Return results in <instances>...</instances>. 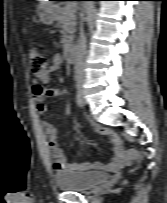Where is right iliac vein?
<instances>
[{
    "label": "right iliac vein",
    "mask_w": 167,
    "mask_h": 203,
    "mask_svg": "<svg viewBox=\"0 0 167 203\" xmlns=\"http://www.w3.org/2000/svg\"><path fill=\"white\" fill-rule=\"evenodd\" d=\"M78 93L83 96L84 92L81 86L78 87Z\"/></svg>",
    "instance_id": "obj_1"
}]
</instances>
